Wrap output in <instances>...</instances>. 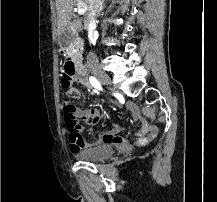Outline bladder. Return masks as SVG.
Masks as SVG:
<instances>
[{
  "mask_svg": "<svg viewBox=\"0 0 217 202\" xmlns=\"http://www.w3.org/2000/svg\"><path fill=\"white\" fill-rule=\"evenodd\" d=\"M114 152V146L110 143L96 145L93 149H88L78 153L77 157L83 160H98L110 158Z\"/></svg>",
  "mask_w": 217,
  "mask_h": 202,
  "instance_id": "obj_1",
  "label": "bladder"
}]
</instances>
